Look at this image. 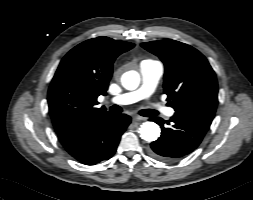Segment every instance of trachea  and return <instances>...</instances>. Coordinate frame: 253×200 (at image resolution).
<instances>
[{"label": "trachea", "mask_w": 253, "mask_h": 200, "mask_svg": "<svg viewBox=\"0 0 253 200\" xmlns=\"http://www.w3.org/2000/svg\"><path fill=\"white\" fill-rule=\"evenodd\" d=\"M121 111H122V109L118 105H113L111 107V112H113V113H120ZM140 114L142 116H145V117H151V116L157 115L158 112L156 110H153V109H146V110H142L140 112Z\"/></svg>", "instance_id": "3493384b"}]
</instances>
